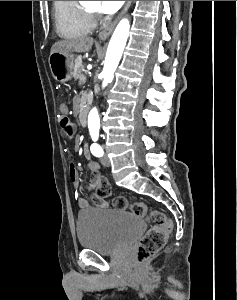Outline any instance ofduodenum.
I'll return each mask as SVG.
<instances>
[{
    "label": "duodenum",
    "mask_w": 237,
    "mask_h": 300,
    "mask_svg": "<svg viewBox=\"0 0 237 300\" xmlns=\"http://www.w3.org/2000/svg\"><path fill=\"white\" fill-rule=\"evenodd\" d=\"M79 121L82 127H86L87 125V114L83 107H81L79 111Z\"/></svg>",
    "instance_id": "410a0bca"
}]
</instances>
